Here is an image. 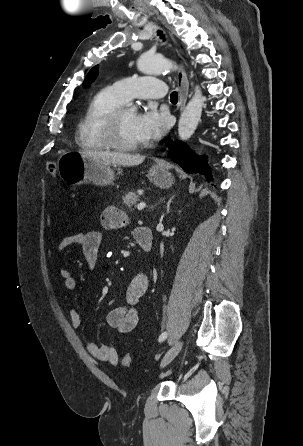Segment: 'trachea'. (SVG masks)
I'll return each mask as SVG.
<instances>
[{"label":"trachea","mask_w":303,"mask_h":446,"mask_svg":"<svg viewBox=\"0 0 303 446\" xmlns=\"http://www.w3.org/2000/svg\"><path fill=\"white\" fill-rule=\"evenodd\" d=\"M158 35L160 36L161 39L164 40V35L162 34L161 31H158ZM170 100H171V102H173V103H177V101H178V93L175 92V91L172 92L171 95H170Z\"/></svg>","instance_id":"1"}]
</instances>
